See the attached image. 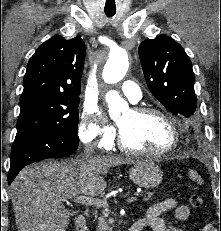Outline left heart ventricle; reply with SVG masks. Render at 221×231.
Returning <instances> with one entry per match:
<instances>
[{
    "label": "left heart ventricle",
    "instance_id": "left-heart-ventricle-1",
    "mask_svg": "<svg viewBox=\"0 0 221 231\" xmlns=\"http://www.w3.org/2000/svg\"><path fill=\"white\" fill-rule=\"evenodd\" d=\"M117 123L125 142L136 149L162 151L173 142L171 126L158 115L137 116L128 110Z\"/></svg>",
    "mask_w": 221,
    "mask_h": 231
}]
</instances>
